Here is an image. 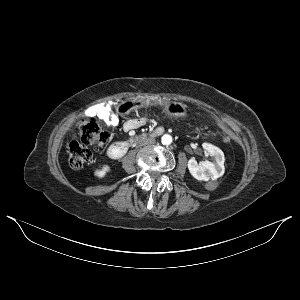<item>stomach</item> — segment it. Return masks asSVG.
<instances>
[{
    "mask_svg": "<svg viewBox=\"0 0 300 300\" xmlns=\"http://www.w3.org/2000/svg\"><path fill=\"white\" fill-rule=\"evenodd\" d=\"M157 105H160L163 109V112H165L169 116L182 117L186 114V106L184 104L161 98L128 99L125 101H121L117 105L116 110L121 115H125L131 111L133 106L149 107Z\"/></svg>",
    "mask_w": 300,
    "mask_h": 300,
    "instance_id": "1",
    "label": "stomach"
}]
</instances>
